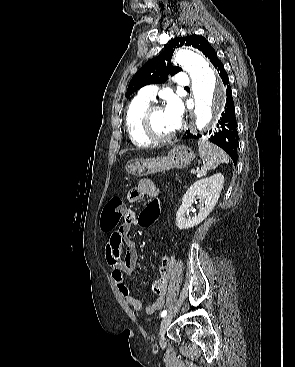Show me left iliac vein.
Wrapping results in <instances>:
<instances>
[{
    "label": "left iliac vein",
    "mask_w": 295,
    "mask_h": 367,
    "mask_svg": "<svg viewBox=\"0 0 295 367\" xmlns=\"http://www.w3.org/2000/svg\"><path fill=\"white\" fill-rule=\"evenodd\" d=\"M172 319H173V313H169L161 321L160 332H159L161 347H165V333Z\"/></svg>",
    "instance_id": "1"
}]
</instances>
